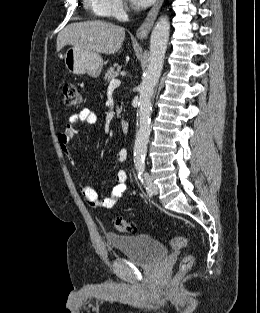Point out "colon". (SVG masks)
I'll list each match as a JSON object with an SVG mask.
<instances>
[{
	"label": "colon",
	"mask_w": 260,
	"mask_h": 313,
	"mask_svg": "<svg viewBox=\"0 0 260 313\" xmlns=\"http://www.w3.org/2000/svg\"><path fill=\"white\" fill-rule=\"evenodd\" d=\"M83 97L78 87L73 83H66L63 86V103L67 108H75L82 104ZM114 226L120 233H133L136 227L133 222L117 218L114 220ZM188 240L186 237L180 236L172 240V247L175 249L183 248L187 245ZM195 260L193 254L185 255L179 264L177 278H181L192 267Z\"/></svg>",
	"instance_id": "5ec220e1"
}]
</instances>
